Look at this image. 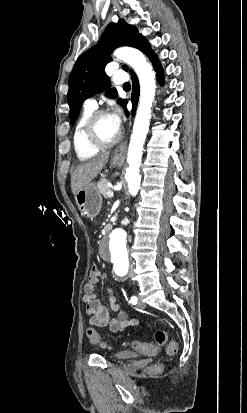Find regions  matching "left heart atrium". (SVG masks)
Listing matches in <instances>:
<instances>
[{"label": "left heart atrium", "mask_w": 247, "mask_h": 413, "mask_svg": "<svg viewBox=\"0 0 247 413\" xmlns=\"http://www.w3.org/2000/svg\"><path fill=\"white\" fill-rule=\"evenodd\" d=\"M105 120L108 126L118 134L122 124V111L117 106H113L112 110L105 115Z\"/></svg>", "instance_id": "1"}]
</instances>
